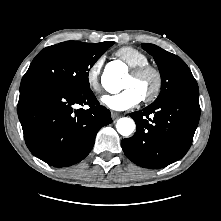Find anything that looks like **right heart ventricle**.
Instances as JSON below:
<instances>
[{"mask_svg": "<svg viewBox=\"0 0 221 221\" xmlns=\"http://www.w3.org/2000/svg\"><path fill=\"white\" fill-rule=\"evenodd\" d=\"M115 55L131 68L149 63L148 56L132 46H123L117 49Z\"/></svg>", "mask_w": 221, "mask_h": 221, "instance_id": "right-heart-ventricle-1", "label": "right heart ventricle"}]
</instances>
